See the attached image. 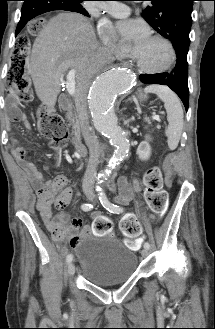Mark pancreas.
Returning <instances> with one entry per match:
<instances>
[{
  "label": "pancreas",
  "mask_w": 215,
  "mask_h": 329,
  "mask_svg": "<svg viewBox=\"0 0 215 329\" xmlns=\"http://www.w3.org/2000/svg\"><path fill=\"white\" fill-rule=\"evenodd\" d=\"M149 124H150V121L149 120H146ZM72 124H73V129L78 132L79 131V126H80V122L78 120V118L76 117L75 114H73V117H72Z\"/></svg>",
  "instance_id": "1"
}]
</instances>
